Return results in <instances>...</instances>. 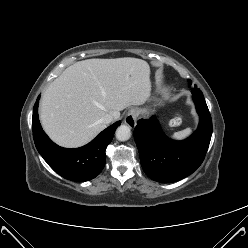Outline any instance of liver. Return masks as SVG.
I'll list each match as a JSON object with an SVG mask.
<instances>
[{"mask_svg":"<svg viewBox=\"0 0 248 248\" xmlns=\"http://www.w3.org/2000/svg\"><path fill=\"white\" fill-rule=\"evenodd\" d=\"M150 87L144 60H83L66 68L44 91L40 121L57 144L80 147L106 128L101 122L105 115L118 119L126 107L143 104Z\"/></svg>","mask_w":248,"mask_h":248,"instance_id":"obj_1","label":"liver"}]
</instances>
